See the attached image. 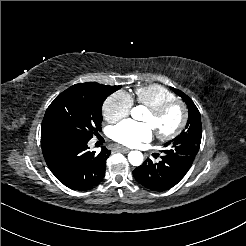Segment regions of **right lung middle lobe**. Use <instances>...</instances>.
I'll use <instances>...</instances> for the list:
<instances>
[{"instance_id": "obj_1", "label": "right lung middle lobe", "mask_w": 246, "mask_h": 246, "mask_svg": "<svg viewBox=\"0 0 246 246\" xmlns=\"http://www.w3.org/2000/svg\"><path fill=\"white\" fill-rule=\"evenodd\" d=\"M120 88L87 82L62 92L47 108L41 125V141H89L101 130L104 100Z\"/></svg>"}]
</instances>
